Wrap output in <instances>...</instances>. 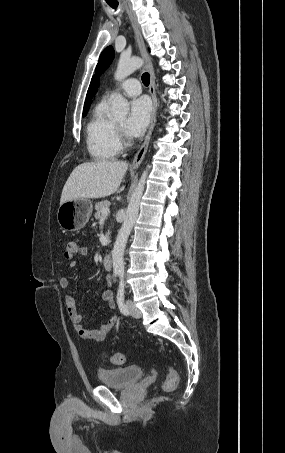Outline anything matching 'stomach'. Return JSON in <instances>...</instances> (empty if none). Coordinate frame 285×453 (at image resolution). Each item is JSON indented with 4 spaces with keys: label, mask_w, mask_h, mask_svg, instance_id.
Instances as JSON below:
<instances>
[{
    "label": "stomach",
    "mask_w": 285,
    "mask_h": 453,
    "mask_svg": "<svg viewBox=\"0 0 285 453\" xmlns=\"http://www.w3.org/2000/svg\"><path fill=\"white\" fill-rule=\"evenodd\" d=\"M93 205L87 198H79L60 204L57 211V221L66 231H78L88 222Z\"/></svg>",
    "instance_id": "stomach-1"
}]
</instances>
